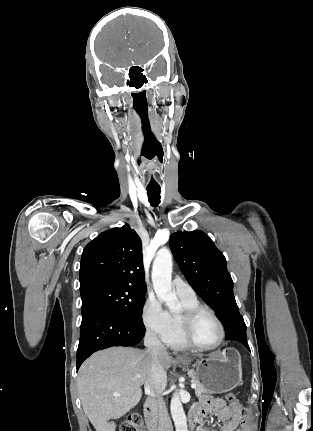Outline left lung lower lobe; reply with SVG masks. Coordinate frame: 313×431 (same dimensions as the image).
<instances>
[{
    "mask_svg": "<svg viewBox=\"0 0 313 431\" xmlns=\"http://www.w3.org/2000/svg\"><path fill=\"white\" fill-rule=\"evenodd\" d=\"M233 340L242 343L244 346H246V348H248L250 350V348H249V346H248L247 341H246L245 338H236V339H233Z\"/></svg>",
    "mask_w": 313,
    "mask_h": 431,
    "instance_id": "0a47b994",
    "label": "left lung lower lobe"
}]
</instances>
